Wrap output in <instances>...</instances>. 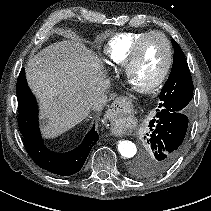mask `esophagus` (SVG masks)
Masks as SVG:
<instances>
[{"label": "esophagus", "instance_id": "1", "mask_svg": "<svg viewBox=\"0 0 211 211\" xmlns=\"http://www.w3.org/2000/svg\"><path fill=\"white\" fill-rule=\"evenodd\" d=\"M124 102H125V100L118 99L114 102V104L112 106L117 107V105H122Z\"/></svg>", "mask_w": 211, "mask_h": 211}]
</instances>
